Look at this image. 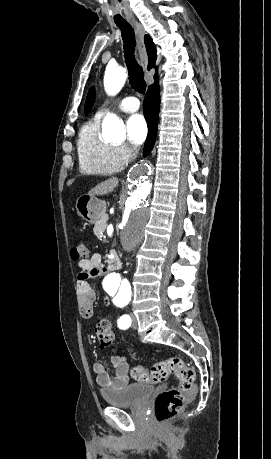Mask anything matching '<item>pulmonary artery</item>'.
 Wrapping results in <instances>:
<instances>
[{
	"instance_id": "obj_1",
	"label": "pulmonary artery",
	"mask_w": 271,
	"mask_h": 459,
	"mask_svg": "<svg viewBox=\"0 0 271 459\" xmlns=\"http://www.w3.org/2000/svg\"><path fill=\"white\" fill-rule=\"evenodd\" d=\"M140 103L136 100V97L121 98L118 108L124 112H135L139 109ZM108 108H102L96 113V118H102L107 112Z\"/></svg>"
}]
</instances>
